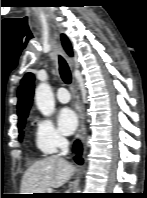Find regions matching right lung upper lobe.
<instances>
[{
    "label": "right lung upper lobe",
    "instance_id": "obj_1",
    "mask_svg": "<svg viewBox=\"0 0 147 198\" xmlns=\"http://www.w3.org/2000/svg\"><path fill=\"white\" fill-rule=\"evenodd\" d=\"M62 45L66 52L72 56V48L68 38L62 34ZM34 92V76L32 73L26 74L21 80V85L18 90V121L26 119L29 109L32 104V97Z\"/></svg>",
    "mask_w": 147,
    "mask_h": 198
}]
</instances>
